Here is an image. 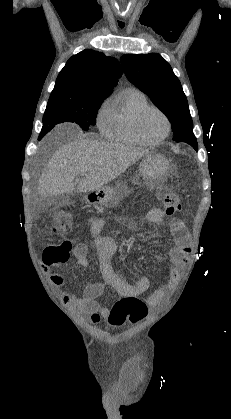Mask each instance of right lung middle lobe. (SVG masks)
<instances>
[{
  "mask_svg": "<svg viewBox=\"0 0 231 419\" xmlns=\"http://www.w3.org/2000/svg\"><path fill=\"white\" fill-rule=\"evenodd\" d=\"M105 98H79L67 92H52L43 116V127L39 140L54 125L75 122L83 130L95 125L98 109Z\"/></svg>",
  "mask_w": 231,
  "mask_h": 419,
  "instance_id": "obj_1",
  "label": "right lung middle lobe"
}]
</instances>
